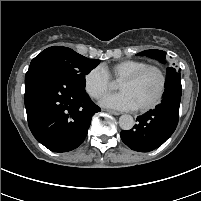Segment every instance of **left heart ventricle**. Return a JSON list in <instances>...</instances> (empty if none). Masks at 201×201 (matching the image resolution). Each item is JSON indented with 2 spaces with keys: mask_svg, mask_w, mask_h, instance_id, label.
Listing matches in <instances>:
<instances>
[{
  "mask_svg": "<svg viewBox=\"0 0 201 201\" xmlns=\"http://www.w3.org/2000/svg\"><path fill=\"white\" fill-rule=\"evenodd\" d=\"M159 87V75L153 70L147 71L134 82H120L118 84V89L126 92L137 107L152 101L157 95Z\"/></svg>",
  "mask_w": 201,
  "mask_h": 201,
  "instance_id": "b2bd125f",
  "label": "left heart ventricle"
}]
</instances>
